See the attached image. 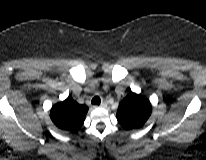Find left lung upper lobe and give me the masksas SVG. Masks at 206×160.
I'll list each match as a JSON object with an SVG mask.
<instances>
[{
    "instance_id": "1",
    "label": "left lung upper lobe",
    "mask_w": 206,
    "mask_h": 160,
    "mask_svg": "<svg viewBox=\"0 0 206 160\" xmlns=\"http://www.w3.org/2000/svg\"><path fill=\"white\" fill-rule=\"evenodd\" d=\"M151 112L150 101L142 95L131 92L120 102L117 119L125 130H135L145 124Z\"/></svg>"
}]
</instances>
